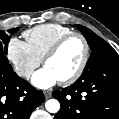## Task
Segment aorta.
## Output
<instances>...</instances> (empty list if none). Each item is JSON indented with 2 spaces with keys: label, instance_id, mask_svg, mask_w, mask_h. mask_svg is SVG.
<instances>
[{
  "label": "aorta",
  "instance_id": "1",
  "mask_svg": "<svg viewBox=\"0 0 119 119\" xmlns=\"http://www.w3.org/2000/svg\"><path fill=\"white\" fill-rule=\"evenodd\" d=\"M46 110L50 113H57L60 109V103L56 99H50L45 104Z\"/></svg>",
  "mask_w": 119,
  "mask_h": 119
}]
</instances>
